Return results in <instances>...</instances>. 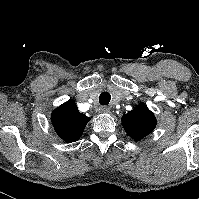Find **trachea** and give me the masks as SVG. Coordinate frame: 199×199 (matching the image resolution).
Returning <instances> with one entry per match:
<instances>
[{"label":"trachea","mask_w":199,"mask_h":199,"mask_svg":"<svg viewBox=\"0 0 199 199\" xmlns=\"http://www.w3.org/2000/svg\"><path fill=\"white\" fill-rule=\"evenodd\" d=\"M111 100V95L108 92H103L99 96V103L101 105H108Z\"/></svg>","instance_id":"obj_1"}]
</instances>
